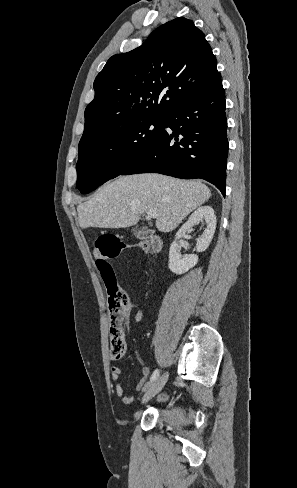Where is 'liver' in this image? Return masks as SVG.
Here are the masks:
<instances>
[{"label": "liver", "instance_id": "1", "mask_svg": "<svg viewBox=\"0 0 297 488\" xmlns=\"http://www.w3.org/2000/svg\"><path fill=\"white\" fill-rule=\"evenodd\" d=\"M210 196V189L199 181L154 173L120 176L78 205V221L82 229L125 228L137 224L142 213L156 209V227L170 232Z\"/></svg>", "mask_w": 297, "mask_h": 488}]
</instances>
